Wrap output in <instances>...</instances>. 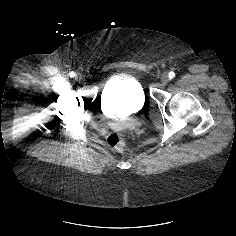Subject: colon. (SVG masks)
<instances>
[{"instance_id":"5ec220e1","label":"colon","mask_w":236,"mask_h":236,"mask_svg":"<svg viewBox=\"0 0 236 236\" xmlns=\"http://www.w3.org/2000/svg\"><path fill=\"white\" fill-rule=\"evenodd\" d=\"M107 145L116 152H124L126 150V137L119 132L110 133L106 137Z\"/></svg>"}]
</instances>
